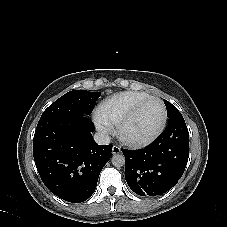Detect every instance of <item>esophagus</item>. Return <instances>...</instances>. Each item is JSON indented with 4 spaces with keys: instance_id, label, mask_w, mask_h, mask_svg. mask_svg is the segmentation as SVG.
<instances>
[{
    "instance_id": "obj_1",
    "label": "esophagus",
    "mask_w": 227,
    "mask_h": 227,
    "mask_svg": "<svg viewBox=\"0 0 227 227\" xmlns=\"http://www.w3.org/2000/svg\"><path fill=\"white\" fill-rule=\"evenodd\" d=\"M121 152V148L117 145H114L112 148V154H119Z\"/></svg>"
}]
</instances>
